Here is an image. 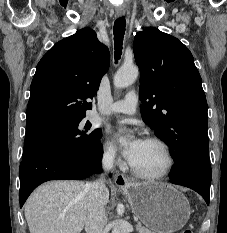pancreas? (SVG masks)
<instances>
[{"label": "pancreas", "mask_w": 227, "mask_h": 233, "mask_svg": "<svg viewBox=\"0 0 227 233\" xmlns=\"http://www.w3.org/2000/svg\"><path fill=\"white\" fill-rule=\"evenodd\" d=\"M136 230H138L139 233H152L148 231L146 228L142 227L140 223L136 225Z\"/></svg>", "instance_id": "pancreas-1"}]
</instances>
